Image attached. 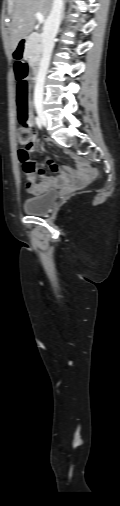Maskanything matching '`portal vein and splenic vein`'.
Listing matches in <instances>:
<instances>
[{
	"mask_svg": "<svg viewBox=\"0 0 120 506\" xmlns=\"http://www.w3.org/2000/svg\"><path fill=\"white\" fill-rule=\"evenodd\" d=\"M35 15H36L37 20H38V22H39V23H43V22H44L45 17L43 16V14H42V13L37 12Z\"/></svg>",
	"mask_w": 120,
	"mask_h": 506,
	"instance_id": "18ae733b",
	"label": "portal vein and splenic vein"
}]
</instances>
